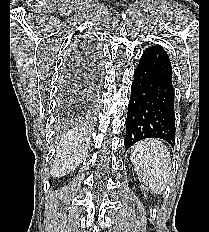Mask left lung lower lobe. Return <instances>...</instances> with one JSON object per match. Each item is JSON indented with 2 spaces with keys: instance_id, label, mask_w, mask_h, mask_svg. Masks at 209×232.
I'll use <instances>...</instances> for the list:
<instances>
[{
  "instance_id": "left-lung-lower-lobe-1",
  "label": "left lung lower lobe",
  "mask_w": 209,
  "mask_h": 232,
  "mask_svg": "<svg viewBox=\"0 0 209 232\" xmlns=\"http://www.w3.org/2000/svg\"><path fill=\"white\" fill-rule=\"evenodd\" d=\"M174 88L170 59L160 45L148 47L134 72L126 118L125 148L146 138L175 144Z\"/></svg>"
}]
</instances>
